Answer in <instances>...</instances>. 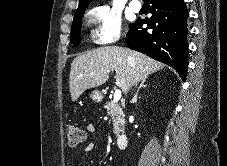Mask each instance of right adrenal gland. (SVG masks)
<instances>
[{
	"label": "right adrenal gland",
	"instance_id": "obj_1",
	"mask_svg": "<svg viewBox=\"0 0 227 166\" xmlns=\"http://www.w3.org/2000/svg\"><path fill=\"white\" fill-rule=\"evenodd\" d=\"M145 82H146V79H144V80H142V81H140V85H139V87H138V89H137V92H136V94L134 95V97H133V99H132V103H137V99H138V92H139V90L141 89V88H145L147 85L145 84Z\"/></svg>",
	"mask_w": 227,
	"mask_h": 166
}]
</instances>
